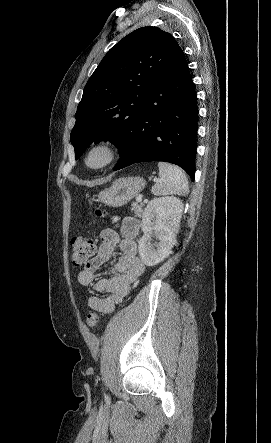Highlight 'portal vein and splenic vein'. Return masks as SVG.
Wrapping results in <instances>:
<instances>
[{
  "label": "portal vein and splenic vein",
  "mask_w": 271,
  "mask_h": 443,
  "mask_svg": "<svg viewBox=\"0 0 271 443\" xmlns=\"http://www.w3.org/2000/svg\"><path fill=\"white\" fill-rule=\"evenodd\" d=\"M154 180H155V178H154ZM155 182H157V180H155ZM137 197L138 198H136V202H142V198L144 197V193L142 191H139L137 193Z\"/></svg>",
  "instance_id": "18ae733b"
}]
</instances>
